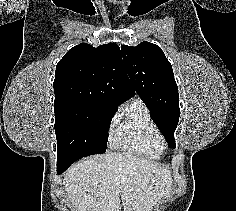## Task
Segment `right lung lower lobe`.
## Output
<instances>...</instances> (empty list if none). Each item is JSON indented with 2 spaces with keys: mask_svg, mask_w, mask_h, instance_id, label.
<instances>
[{
  "mask_svg": "<svg viewBox=\"0 0 236 211\" xmlns=\"http://www.w3.org/2000/svg\"><path fill=\"white\" fill-rule=\"evenodd\" d=\"M93 154L94 153L78 151V152H70V153H67V154L58 155V159H57V173L58 174L63 173L76 160H78V159H80L82 157L93 155Z\"/></svg>",
  "mask_w": 236,
  "mask_h": 211,
  "instance_id": "98d812e1",
  "label": "right lung lower lobe"
}]
</instances>
